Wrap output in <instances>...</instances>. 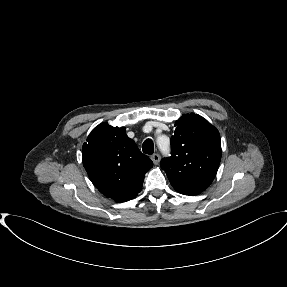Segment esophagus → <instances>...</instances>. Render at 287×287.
<instances>
[{"mask_svg":"<svg viewBox=\"0 0 287 287\" xmlns=\"http://www.w3.org/2000/svg\"><path fill=\"white\" fill-rule=\"evenodd\" d=\"M151 160L153 161V163L155 165H157L159 163V161H160V155L159 154H153L151 156Z\"/></svg>","mask_w":287,"mask_h":287,"instance_id":"esophagus-1","label":"esophagus"}]
</instances>
